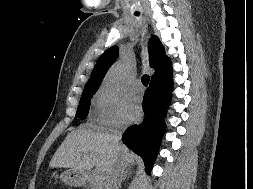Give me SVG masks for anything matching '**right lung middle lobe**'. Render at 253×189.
Returning a JSON list of instances; mask_svg holds the SVG:
<instances>
[{
  "label": "right lung middle lobe",
  "instance_id": "obj_1",
  "mask_svg": "<svg viewBox=\"0 0 253 189\" xmlns=\"http://www.w3.org/2000/svg\"><path fill=\"white\" fill-rule=\"evenodd\" d=\"M97 90H86L83 91L80 103L76 112V118H85L89 111L90 99L96 93Z\"/></svg>",
  "mask_w": 253,
  "mask_h": 189
}]
</instances>
